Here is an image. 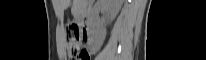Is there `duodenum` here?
<instances>
[{"label": "duodenum", "instance_id": "obj_1", "mask_svg": "<svg viewBox=\"0 0 206 60\" xmlns=\"http://www.w3.org/2000/svg\"><path fill=\"white\" fill-rule=\"evenodd\" d=\"M80 22L81 23H79V28H86L87 27V24L89 23L87 9H85V11L83 12L81 19H80Z\"/></svg>", "mask_w": 206, "mask_h": 60}]
</instances>
